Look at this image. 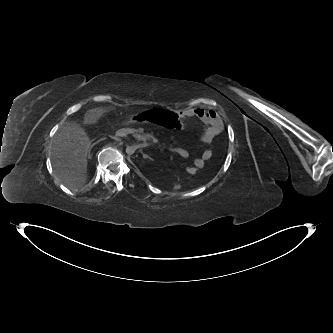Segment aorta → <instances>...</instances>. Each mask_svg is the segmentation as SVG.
Wrapping results in <instances>:
<instances>
[{
  "label": "aorta",
  "instance_id": "1",
  "mask_svg": "<svg viewBox=\"0 0 333 333\" xmlns=\"http://www.w3.org/2000/svg\"><path fill=\"white\" fill-rule=\"evenodd\" d=\"M135 150H136V148H135L134 146H127V147H126V153H127L128 155H132V154H134Z\"/></svg>",
  "mask_w": 333,
  "mask_h": 333
}]
</instances>
